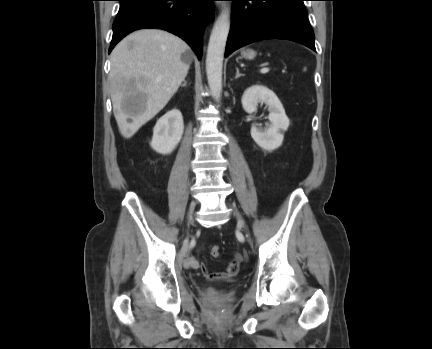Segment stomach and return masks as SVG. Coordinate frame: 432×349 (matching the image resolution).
Wrapping results in <instances>:
<instances>
[{"label": "stomach", "mask_w": 432, "mask_h": 349, "mask_svg": "<svg viewBox=\"0 0 432 349\" xmlns=\"http://www.w3.org/2000/svg\"><path fill=\"white\" fill-rule=\"evenodd\" d=\"M241 55L245 59L252 60V59H254L256 57V52L254 50H252V49H246V50H242L241 51Z\"/></svg>", "instance_id": "1"}]
</instances>
